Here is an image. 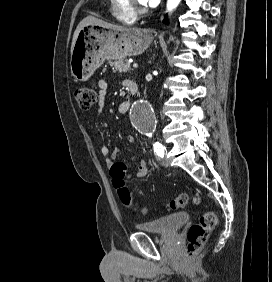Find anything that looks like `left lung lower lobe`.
<instances>
[{"label":"left lung lower lobe","mask_w":272,"mask_h":282,"mask_svg":"<svg viewBox=\"0 0 272 282\" xmlns=\"http://www.w3.org/2000/svg\"><path fill=\"white\" fill-rule=\"evenodd\" d=\"M164 23L168 24V20L167 17H165V19L163 20Z\"/></svg>","instance_id":"obj_1"}]
</instances>
